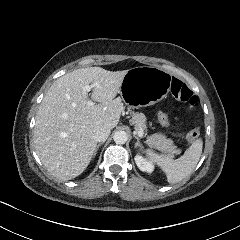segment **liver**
Wrapping results in <instances>:
<instances>
[{
    "instance_id": "liver-1",
    "label": "liver",
    "mask_w": 240,
    "mask_h": 240,
    "mask_svg": "<svg viewBox=\"0 0 240 240\" xmlns=\"http://www.w3.org/2000/svg\"><path fill=\"white\" fill-rule=\"evenodd\" d=\"M127 72L80 68L50 86L36 115L34 146L53 176L67 181L80 175L96 149L95 132L117 126L123 104L116 95ZM96 83L88 100L83 87Z\"/></svg>"
}]
</instances>
